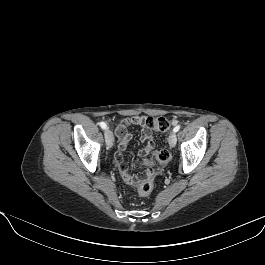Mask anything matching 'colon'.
Wrapping results in <instances>:
<instances>
[{
  "mask_svg": "<svg viewBox=\"0 0 265 265\" xmlns=\"http://www.w3.org/2000/svg\"><path fill=\"white\" fill-rule=\"evenodd\" d=\"M142 124L151 130L158 132H166L169 130L170 124L165 117H146ZM171 155L169 150L162 146L153 150L149 157L145 159L147 166H161L166 164ZM151 172L147 171L145 176L141 177L138 182V190L141 194L147 195L152 191L153 183L150 178Z\"/></svg>",
  "mask_w": 265,
  "mask_h": 265,
  "instance_id": "5ec220e1",
  "label": "colon"
}]
</instances>
